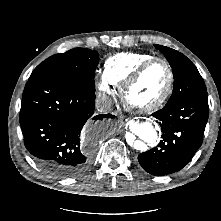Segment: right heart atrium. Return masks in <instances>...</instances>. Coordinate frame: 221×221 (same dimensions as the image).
Listing matches in <instances>:
<instances>
[{
	"label": "right heart atrium",
	"instance_id": "d8ad5b80",
	"mask_svg": "<svg viewBox=\"0 0 221 221\" xmlns=\"http://www.w3.org/2000/svg\"><path fill=\"white\" fill-rule=\"evenodd\" d=\"M97 89L102 98L108 99L113 93V84L105 75H102L98 81Z\"/></svg>",
	"mask_w": 221,
	"mask_h": 221
}]
</instances>
